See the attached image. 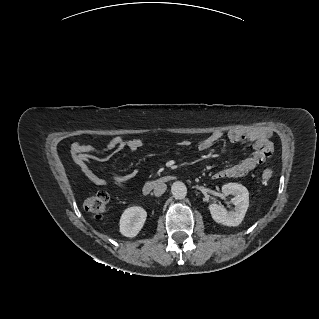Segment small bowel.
I'll list each match as a JSON object with an SVG mask.
<instances>
[{
    "label": "small bowel",
    "mask_w": 319,
    "mask_h": 319,
    "mask_svg": "<svg viewBox=\"0 0 319 319\" xmlns=\"http://www.w3.org/2000/svg\"><path fill=\"white\" fill-rule=\"evenodd\" d=\"M270 132L265 131L260 134L247 133L241 130H230L227 137L231 142H240L248 140L253 143V152L243 160L235 163L229 167L222 168L213 174L215 179L236 178L247 175L250 171L255 169L258 165L263 164L267 155L262 150L263 143L268 141ZM223 134L221 132H214L204 139H202L197 149L200 152H207L218 141L221 140ZM188 140L180 141L181 147L189 146ZM146 143L140 139L125 140L120 136L113 137L105 146L97 147L92 145H84L75 143L72 146L73 158L75 163L79 166L87 178L96 185H115L119 187L127 186L135 177L134 172L126 174L108 173L106 177L100 176L90 165L93 157L97 158L98 162L105 161L114 153L127 149L130 151H138L145 147Z\"/></svg>",
    "instance_id": "small-bowel-1"
}]
</instances>
